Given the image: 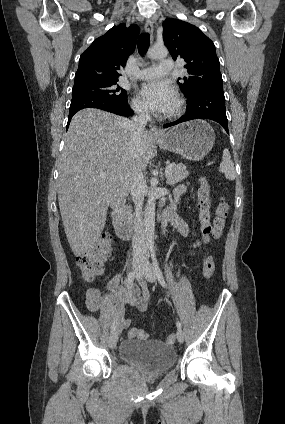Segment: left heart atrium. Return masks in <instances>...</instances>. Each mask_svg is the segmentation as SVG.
Here are the masks:
<instances>
[{
	"instance_id": "obj_1",
	"label": "left heart atrium",
	"mask_w": 285,
	"mask_h": 424,
	"mask_svg": "<svg viewBox=\"0 0 285 424\" xmlns=\"http://www.w3.org/2000/svg\"><path fill=\"white\" fill-rule=\"evenodd\" d=\"M140 94L148 108L160 114L169 113L176 99L175 90L165 81L145 83L140 90Z\"/></svg>"
}]
</instances>
